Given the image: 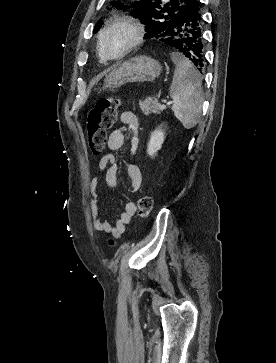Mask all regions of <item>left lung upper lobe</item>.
Listing matches in <instances>:
<instances>
[{
	"label": "left lung upper lobe",
	"mask_w": 276,
	"mask_h": 363,
	"mask_svg": "<svg viewBox=\"0 0 276 363\" xmlns=\"http://www.w3.org/2000/svg\"><path fill=\"white\" fill-rule=\"evenodd\" d=\"M190 0H142L133 2L131 13L146 25V38H156L167 29L168 23L172 22L178 11ZM118 9L123 6L117 2L113 3ZM100 22V21H99ZM97 24L94 32L98 31Z\"/></svg>",
	"instance_id": "left-lung-upper-lobe-1"
}]
</instances>
